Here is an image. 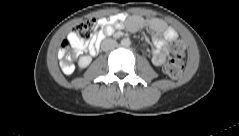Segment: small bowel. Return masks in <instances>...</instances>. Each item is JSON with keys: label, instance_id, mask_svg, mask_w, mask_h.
Segmentation results:
<instances>
[{"label": "small bowel", "instance_id": "1", "mask_svg": "<svg viewBox=\"0 0 239 136\" xmlns=\"http://www.w3.org/2000/svg\"><path fill=\"white\" fill-rule=\"evenodd\" d=\"M98 24L102 30L89 42H78L73 34L69 35V38L77 45L80 51L90 50L98 36L111 34L114 28L127 26L130 31L137 32L147 26L155 33L153 36L152 62L156 66H162L169 56L168 43L178 38L175 29L160 18L127 17L124 14H117L111 18L99 19Z\"/></svg>", "mask_w": 239, "mask_h": 136}]
</instances>
